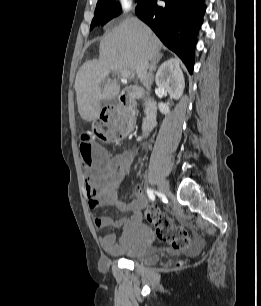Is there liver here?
<instances>
[{
	"instance_id": "obj_1",
	"label": "liver",
	"mask_w": 261,
	"mask_h": 306,
	"mask_svg": "<svg viewBox=\"0 0 261 306\" xmlns=\"http://www.w3.org/2000/svg\"><path fill=\"white\" fill-rule=\"evenodd\" d=\"M99 48V59L85 62L75 80L78 111L88 122L98 117L102 100H112L120 93V85L114 81L102 86L110 73L128 70L133 78L142 56L147 55L151 61L162 57L161 41L136 17L121 21L104 37Z\"/></svg>"
}]
</instances>
